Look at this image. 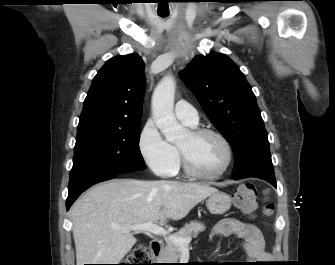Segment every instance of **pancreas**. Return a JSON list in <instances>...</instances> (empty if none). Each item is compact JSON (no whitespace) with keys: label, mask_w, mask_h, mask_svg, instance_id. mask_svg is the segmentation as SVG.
I'll return each mask as SVG.
<instances>
[{"label":"pancreas","mask_w":335,"mask_h":265,"mask_svg":"<svg viewBox=\"0 0 335 265\" xmlns=\"http://www.w3.org/2000/svg\"><path fill=\"white\" fill-rule=\"evenodd\" d=\"M204 230V224L197 221H191L189 224H185V226L176 232L174 236L192 239V237H197L198 234ZM180 257V246L174 244L172 240L166 239V246L159 257V260L164 263H177Z\"/></svg>","instance_id":"1"}]
</instances>
